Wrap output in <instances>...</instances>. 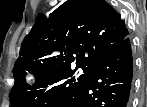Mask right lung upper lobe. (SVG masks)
<instances>
[{
    "instance_id": "cb5924a9",
    "label": "right lung upper lobe",
    "mask_w": 147,
    "mask_h": 107,
    "mask_svg": "<svg viewBox=\"0 0 147 107\" xmlns=\"http://www.w3.org/2000/svg\"><path fill=\"white\" fill-rule=\"evenodd\" d=\"M127 36L125 21L105 0H67L49 17L37 19L13 71L96 67Z\"/></svg>"
}]
</instances>
